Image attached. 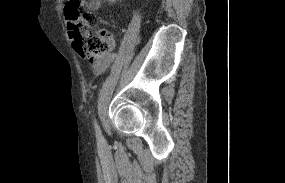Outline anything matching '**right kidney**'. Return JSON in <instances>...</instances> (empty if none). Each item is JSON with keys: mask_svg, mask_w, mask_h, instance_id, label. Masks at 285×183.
Instances as JSON below:
<instances>
[{"mask_svg": "<svg viewBox=\"0 0 285 183\" xmlns=\"http://www.w3.org/2000/svg\"><path fill=\"white\" fill-rule=\"evenodd\" d=\"M109 2H115L116 0H108Z\"/></svg>", "mask_w": 285, "mask_h": 183, "instance_id": "obj_1", "label": "right kidney"}]
</instances>
